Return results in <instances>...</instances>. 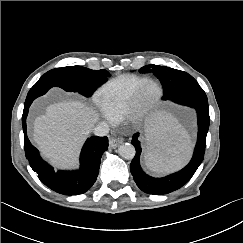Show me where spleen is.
I'll use <instances>...</instances> for the list:
<instances>
[{
	"label": "spleen",
	"mask_w": 243,
	"mask_h": 243,
	"mask_svg": "<svg viewBox=\"0 0 243 243\" xmlns=\"http://www.w3.org/2000/svg\"><path fill=\"white\" fill-rule=\"evenodd\" d=\"M145 163L151 171L168 172L181 167L190 156L187 132L170 115L157 113L147 121Z\"/></svg>",
	"instance_id": "3e777b00"
}]
</instances>
